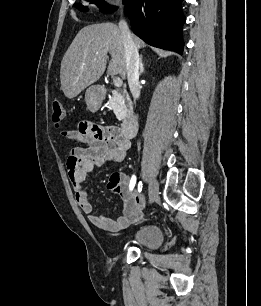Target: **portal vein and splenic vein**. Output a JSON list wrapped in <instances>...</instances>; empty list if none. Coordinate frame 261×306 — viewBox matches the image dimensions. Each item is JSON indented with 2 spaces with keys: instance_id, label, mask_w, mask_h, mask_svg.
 Wrapping results in <instances>:
<instances>
[{
  "instance_id": "1",
  "label": "portal vein and splenic vein",
  "mask_w": 261,
  "mask_h": 306,
  "mask_svg": "<svg viewBox=\"0 0 261 306\" xmlns=\"http://www.w3.org/2000/svg\"><path fill=\"white\" fill-rule=\"evenodd\" d=\"M113 83H114V85H115L116 87H121L122 84H123V81H122V79L119 78V77H114V78H113Z\"/></svg>"
}]
</instances>
